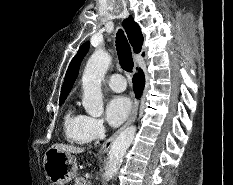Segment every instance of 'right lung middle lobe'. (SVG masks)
Here are the masks:
<instances>
[{"instance_id": "right-lung-middle-lobe-1", "label": "right lung middle lobe", "mask_w": 233, "mask_h": 185, "mask_svg": "<svg viewBox=\"0 0 233 185\" xmlns=\"http://www.w3.org/2000/svg\"><path fill=\"white\" fill-rule=\"evenodd\" d=\"M63 102H64V101H60V102H59V105H62V104H63Z\"/></svg>"}]
</instances>
